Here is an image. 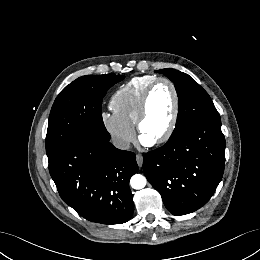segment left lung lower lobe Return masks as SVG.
I'll return each instance as SVG.
<instances>
[{
	"mask_svg": "<svg viewBox=\"0 0 260 260\" xmlns=\"http://www.w3.org/2000/svg\"><path fill=\"white\" fill-rule=\"evenodd\" d=\"M225 138L220 117L199 120L176 138L144 155L150 184L173 215H185L205 205L224 171Z\"/></svg>",
	"mask_w": 260,
	"mask_h": 260,
	"instance_id": "0a47b994",
	"label": "left lung lower lobe"
}]
</instances>
